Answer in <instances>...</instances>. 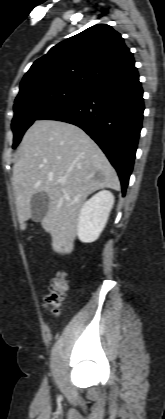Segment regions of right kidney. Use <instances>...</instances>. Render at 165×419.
Instances as JSON below:
<instances>
[{"label": "right kidney", "mask_w": 165, "mask_h": 419, "mask_svg": "<svg viewBox=\"0 0 165 419\" xmlns=\"http://www.w3.org/2000/svg\"><path fill=\"white\" fill-rule=\"evenodd\" d=\"M113 204L114 196L107 190L98 192L83 204L77 223V235L81 242L91 243L98 239Z\"/></svg>", "instance_id": "1"}]
</instances>
